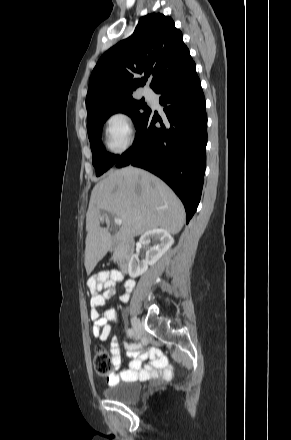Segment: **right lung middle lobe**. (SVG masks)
<instances>
[{
  "label": "right lung middle lobe",
  "mask_w": 291,
  "mask_h": 440,
  "mask_svg": "<svg viewBox=\"0 0 291 440\" xmlns=\"http://www.w3.org/2000/svg\"><path fill=\"white\" fill-rule=\"evenodd\" d=\"M149 110L150 108L144 99L136 100L132 97L122 101L103 104L88 111L87 130L96 176H100L107 171L119 158L118 155L107 153L100 139L102 125L107 118L114 113L122 112L132 118L135 128H137Z\"/></svg>",
  "instance_id": "1"
}]
</instances>
